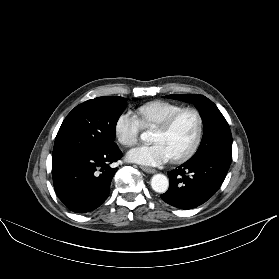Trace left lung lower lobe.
Segmentation results:
<instances>
[{
	"instance_id": "1",
	"label": "left lung lower lobe",
	"mask_w": 279,
	"mask_h": 279,
	"mask_svg": "<svg viewBox=\"0 0 279 279\" xmlns=\"http://www.w3.org/2000/svg\"><path fill=\"white\" fill-rule=\"evenodd\" d=\"M230 163L216 154L189 159L168 173L170 186L161 195L162 200L185 210L203 204L220 188Z\"/></svg>"
}]
</instances>
